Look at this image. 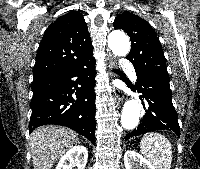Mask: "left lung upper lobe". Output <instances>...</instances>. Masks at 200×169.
I'll return each instance as SVG.
<instances>
[{"mask_svg": "<svg viewBox=\"0 0 200 169\" xmlns=\"http://www.w3.org/2000/svg\"><path fill=\"white\" fill-rule=\"evenodd\" d=\"M115 29H122L130 36L131 51L127 56L135 70L169 81L161 43L150 24L130 12L116 17Z\"/></svg>", "mask_w": 200, "mask_h": 169, "instance_id": "obj_1", "label": "left lung upper lobe"}]
</instances>
